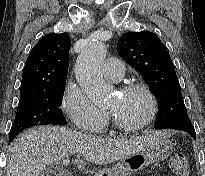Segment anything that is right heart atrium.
I'll return each mask as SVG.
<instances>
[{
	"instance_id": "right-heart-atrium-1",
	"label": "right heart atrium",
	"mask_w": 205,
	"mask_h": 176,
	"mask_svg": "<svg viewBox=\"0 0 205 176\" xmlns=\"http://www.w3.org/2000/svg\"><path fill=\"white\" fill-rule=\"evenodd\" d=\"M62 108L69 120L80 130L92 132L107 119L105 111L98 108L75 84L70 83L62 99Z\"/></svg>"
}]
</instances>
